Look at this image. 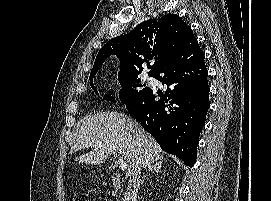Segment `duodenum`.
I'll return each instance as SVG.
<instances>
[{"label":"duodenum","mask_w":271,"mask_h":201,"mask_svg":"<svg viewBox=\"0 0 271 201\" xmlns=\"http://www.w3.org/2000/svg\"><path fill=\"white\" fill-rule=\"evenodd\" d=\"M110 183H111L112 187H113L116 191L121 190V188H122V182H121L119 179H117V178H115V177H111Z\"/></svg>","instance_id":"410a0bca"}]
</instances>
